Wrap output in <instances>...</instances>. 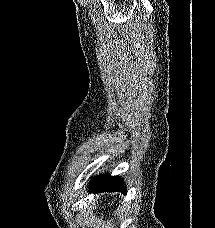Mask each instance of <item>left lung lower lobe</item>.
I'll list each match as a JSON object with an SVG mask.
<instances>
[{"label": "left lung lower lobe", "mask_w": 215, "mask_h": 228, "mask_svg": "<svg viewBox=\"0 0 215 228\" xmlns=\"http://www.w3.org/2000/svg\"><path fill=\"white\" fill-rule=\"evenodd\" d=\"M122 192L126 194L125 186L118 176H109L108 174L94 177L91 181L89 192Z\"/></svg>", "instance_id": "0a47b994"}]
</instances>
